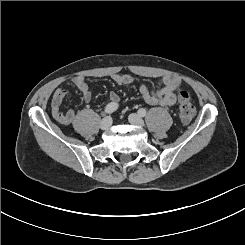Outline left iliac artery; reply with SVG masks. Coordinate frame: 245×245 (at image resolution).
<instances>
[{
  "label": "left iliac artery",
  "mask_w": 245,
  "mask_h": 245,
  "mask_svg": "<svg viewBox=\"0 0 245 245\" xmlns=\"http://www.w3.org/2000/svg\"><path fill=\"white\" fill-rule=\"evenodd\" d=\"M138 113H139V115L140 116H142V117H144L145 115H146V110L144 109V108H140L139 110H138Z\"/></svg>",
  "instance_id": "1"
}]
</instances>
